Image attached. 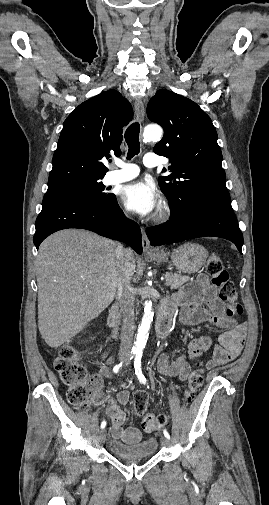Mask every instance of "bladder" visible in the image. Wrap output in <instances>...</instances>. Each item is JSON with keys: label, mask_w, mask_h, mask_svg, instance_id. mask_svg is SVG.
<instances>
[{"label": "bladder", "mask_w": 269, "mask_h": 505, "mask_svg": "<svg viewBox=\"0 0 269 505\" xmlns=\"http://www.w3.org/2000/svg\"><path fill=\"white\" fill-rule=\"evenodd\" d=\"M109 450L116 457L122 459H138L153 456L158 448V440L149 437L136 443H125L112 439L109 441Z\"/></svg>", "instance_id": "obj_1"}]
</instances>
